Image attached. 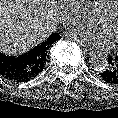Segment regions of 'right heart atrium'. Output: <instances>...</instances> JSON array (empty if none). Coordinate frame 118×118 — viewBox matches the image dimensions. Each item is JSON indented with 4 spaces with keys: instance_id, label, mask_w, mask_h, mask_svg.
<instances>
[{
    "instance_id": "obj_1",
    "label": "right heart atrium",
    "mask_w": 118,
    "mask_h": 118,
    "mask_svg": "<svg viewBox=\"0 0 118 118\" xmlns=\"http://www.w3.org/2000/svg\"><path fill=\"white\" fill-rule=\"evenodd\" d=\"M60 21L65 25L76 23L80 15V0H62Z\"/></svg>"
}]
</instances>
